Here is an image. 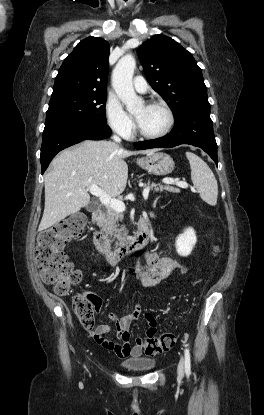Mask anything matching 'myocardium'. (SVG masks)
Wrapping results in <instances>:
<instances>
[{"mask_svg": "<svg viewBox=\"0 0 264 415\" xmlns=\"http://www.w3.org/2000/svg\"><path fill=\"white\" fill-rule=\"evenodd\" d=\"M147 105L157 106V107L162 108L167 115V123L162 131L158 133H154V134H146L140 130L138 122L136 121L137 136L140 138H144V139H159V138L166 136L171 131L174 125V122H175V116H174L172 109L166 102H164L163 100H158V99L149 101Z\"/></svg>", "mask_w": 264, "mask_h": 415, "instance_id": "1", "label": "myocardium"}]
</instances>
